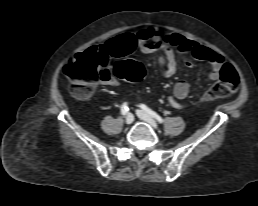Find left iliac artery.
Returning <instances> with one entry per match:
<instances>
[{
    "label": "left iliac artery",
    "mask_w": 258,
    "mask_h": 206,
    "mask_svg": "<svg viewBox=\"0 0 258 206\" xmlns=\"http://www.w3.org/2000/svg\"><path fill=\"white\" fill-rule=\"evenodd\" d=\"M140 107L147 112L151 117L155 118L159 123H163V119L153 110L148 108L146 105L141 104Z\"/></svg>",
    "instance_id": "1"
}]
</instances>
